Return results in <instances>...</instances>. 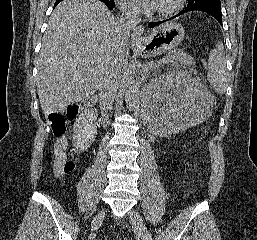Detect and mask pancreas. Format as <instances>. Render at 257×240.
I'll list each match as a JSON object with an SVG mask.
<instances>
[{
	"label": "pancreas",
	"instance_id": "obj_1",
	"mask_svg": "<svg viewBox=\"0 0 257 240\" xmlns=\"http://www.w3.org/2000/svg\"><path fill=\"white\" fill-rule=\"evenodd\" d=\"M168 64V65H190L194 67L195 61L192 57L188 56L183 50H173L167 56L156 61L152 64V70L157 69L158 67Z\"/></svg>",
	"mask_w": 257,
	"mask_h": 240
}]
</instances>
